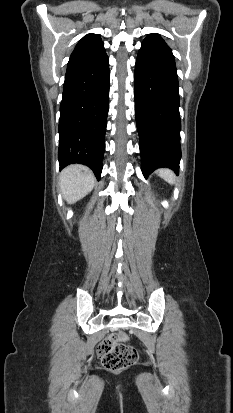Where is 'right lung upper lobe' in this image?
I'll use <instances>...</instances> for the list:
<instances>
[{
  "mask_svg": "<svg viewBox=\"0 0 233 413\" xmlns=\"http://www.w3.org/2000/svg\"><path fill=\"white\" fill-rule=\"evenodd\" d=\"M101 42V38L97 34H87L76 45L75 50L82 49Z\"/></svg>",
  "mask_w": 233,
  "mask_h": 413,
  "instance_id": "1",
  "label": "right lung upper lobe"
}]
</instances>
